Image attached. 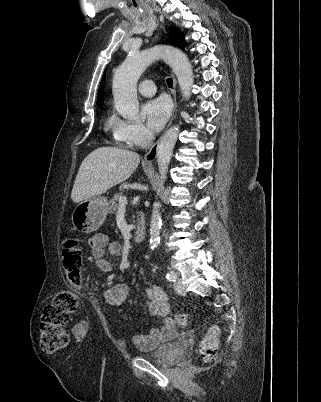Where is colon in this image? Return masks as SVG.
<instances>
[{"instance_id":"1","label":"colon","mask_w":321,"mask_h":402,"mask_svg":"<svg viewBox=\"0 0 321 402\" xmlns=\"http://www.w3.org/2000/svg\"><path fill=\"white\" fill-rule=\"evenodd\" d=\"M63 265L69 285L75 292H82V251L80 241L69 236L63 243ZM78 297L71 290L58 292L52 301L45 307L40 324V343L43 351L54 353L68 345L69 336L65 326L71 315L77 310ZM178 326L184 327L188 323L185 314L175 316ZM219 329L213 326L209 333L201 340L199 350L205 361H214L217 358L219 346Z\"/></svg>"}]
</instances>
